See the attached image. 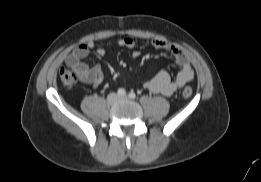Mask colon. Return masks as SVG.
<instances>
[{"mask_svg":"<svg viewBox=\"0 0 261 182\" xmlns=\"http://www.w3.org/2000/svg\"><path fill=\"white\" fill-rule=\"evenodd\" d=\"M60 80L63 84V86L67 89H71L73 88L76 84H77V81H78V77L76 75V73H74L73 71L71 70H68V69H62L60 71ZM182 94L185 98H189L191 95H192V89L191 87L189 86H186L183 91H182Z\"/></svg>","mask_w":261,"mask_h":182,"instance_id":"5ec220e1","label":"colon"}]
</instances>
